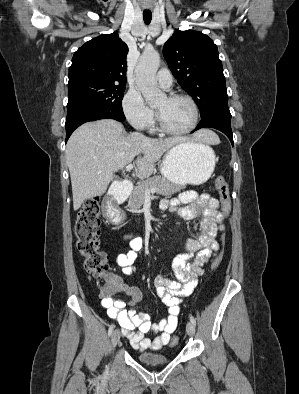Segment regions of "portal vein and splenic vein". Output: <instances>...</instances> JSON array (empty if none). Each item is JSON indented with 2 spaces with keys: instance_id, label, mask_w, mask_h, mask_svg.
<instances>
[{
  "instance_id": "portal-vein-and-splenic-vein-1",
  "label": "portal vein and splenic vein",
  "mask_w": 299,
  "mask_h": 394,
  "mask_svg": "<svg viewBox=\"0 0 299 394\" xmlns=\"http://www.w3.org/2000/svg\"><path fill=\"white\" fill-rule=\"evenodd\" d=\"M132 169H133V164L130 163V164H128V165L126 166V171H131ZM156 191H157V189H155V188H154V189H151V190H148V189H147V190L145 191V195L149 197L150 194H153V193H155Z\"/></svg>"
}]
</instances>
